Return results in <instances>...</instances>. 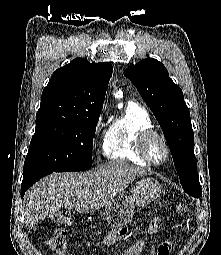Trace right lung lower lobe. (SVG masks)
Listing matches in <instances>:
<instances>
[{
    "label": "right lung lower lobe",
    "mask_w": 221,
    "mask_h": 255,
    "mask_svg": "<svg viewBox=\"0 0 221 255\" xmlns=\"http://www.w3.org/2000/svg\"><path fill=\"white\" fill-rule=\"evenodd\" d=\"M52 173L51 171L32 170L23 174V181L21 184V197L24 196L26 190L37 182L42 177Z\"/></svg>",
    "instance_id": "98d812e1"
}]
</instances>
